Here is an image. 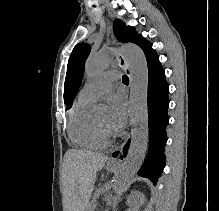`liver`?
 Returning <instances> with one entry per match:
<instances>
[{
    "label": "liver",
    "mask_w": 219,
    "mask_h": 211,
    "mask_svg": "<svg viewBox=\"0 0 219 211\" xmlns=\"http://www.w3.org/2000/svg\"><path fill=\"white\" fill-rule=\"evenodd\" d=\"M108 155L68 149L64 155V209L84 211L92 195L97 171L105 165Z\"/></svg>",
    "instance_id": "liver-1"
}]
</instances>
